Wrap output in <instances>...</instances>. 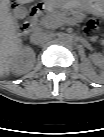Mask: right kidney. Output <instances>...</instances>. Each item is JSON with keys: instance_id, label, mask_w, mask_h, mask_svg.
Returning a JSON list of instances; mask_svg holds the SVG:
<instances>
[{"instance_id": "right-kidney-1", "label": "right kidney", "mask_w": 104, "mask_h": 137, "mask_svg": "<svg viewBox=\"0 0 104 137\" xmlns=\"http://www.w3.org/2000/svg\"><path fill=\"white\" fill-rule=\"evenodd\" d=\"M35 59L34 51L29 47H22L10 61V69L16 74L25 73V66H32Z\"/></svg>"}]
</instances>
